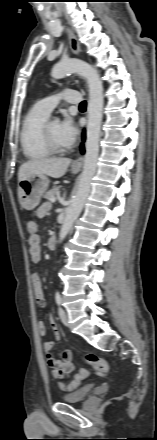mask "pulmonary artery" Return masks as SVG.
Wrapping results in <instances>:
<instances>
[{"label":"pulmonary artery","mask_w":157,"mask_h":440,"mask_svg":"<svg viewBox=\"0 0 157 440\" xmlns=\"http://www.w3.org/2000/svg\"><path fill=\"white\" fill-rule=\"evenodd\" d=\"M63 100L72 104L79 103L81 100V95L79 92L74 90H64L60 93L50 95L39 100L36 103V107L46 115H50L53 109Z\"/></svg>","instance_id":"obj_1"}]
</instances>
